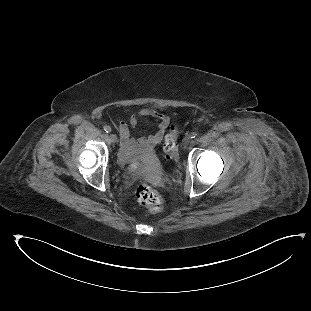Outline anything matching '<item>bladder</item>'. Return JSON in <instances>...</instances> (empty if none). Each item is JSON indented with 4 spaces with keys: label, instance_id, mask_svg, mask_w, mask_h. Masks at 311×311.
<instances>
[{
    "label": "bladder",
    "instance_id": "bladder-1",
    "mask_svg": "<svg viewBox=\"0 0 311 311\" xmlns=\"http://www.w3.org/2000/svg\"><path fill=\"white\" fill-rule=\"evenodd\" d=\"M158 166L159 168L164 165L160 162V158L158 153H154L149 157H146L143 161H141L140 168L143 169L144 175L146 177L151 176L154 173V169Z\"/></svg>",
    "mask_w": 311,
    "mask_h": 311
}]
</instances>
